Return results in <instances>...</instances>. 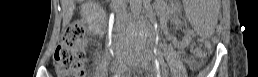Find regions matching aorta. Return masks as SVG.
<instances>
[{
  "label": "aorta",
  "mask_w": 258,
  "mask_h": 77,
  "mask_svg": "<svg viewBox=\"0 0 258 77\" xmlns=\"http://www.w3.org/2000/svg\"><path fill=\"white\" fill-rule=\"evenodd\" d=\"M130 8L135 16H139L142 9V0H130Z\"/></svg>",
  "instance_id": "762f6f07"
}]
</instances>
